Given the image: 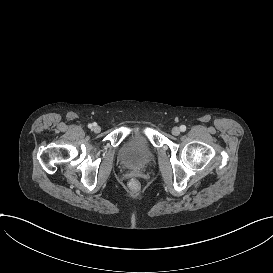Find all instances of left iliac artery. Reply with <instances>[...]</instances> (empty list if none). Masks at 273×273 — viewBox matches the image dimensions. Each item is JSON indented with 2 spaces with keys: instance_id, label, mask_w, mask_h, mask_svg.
<instances>
[{
  "instance_id": "left-iliac-artery-1",
  "label": "left iliac artery",
  "mask_w": 273,
  "mask_h": 273,
  "mask_svg": "<svg viewBox=\"0 0 273 273\" xmlns=\"http://www.w3.org/2000/svg\"><path fill=\"white\" fill-rule=\"evenodd\" d=\"M180 130H181L182 132H184V131L186 130V126H185V125H181V126H180Z\"/></svg>"
}]
</instances>
